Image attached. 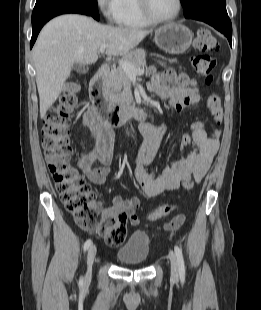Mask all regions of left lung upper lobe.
Listing matches in <instances>:
<instances>
[{
    "instance_id": "left-lung-upper-lobe-1",
    "label": "left lung upper lobe",
    "mask_w": 261,
    "mask_h": 310,
    "mask_svg": "<svg viewBox=\"0 0 261 310\" xmlns=\"http://www.w3.org/2000/svg\"><path fill=\"white\" fill-rule=\"evenodd\" d=\"M186 18L200 19L227 14L226 0H181Z\"/></svg>"
}]
</instances>
